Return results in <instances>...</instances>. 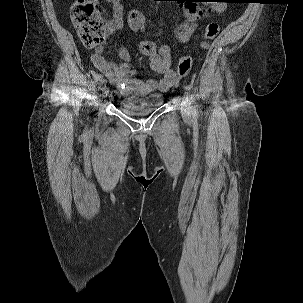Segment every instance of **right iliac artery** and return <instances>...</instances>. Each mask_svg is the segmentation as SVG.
Listing matches in <instances>:
<instances>
[{
    "label": "right iliac artery",
    "mask_w": 303,
    "mask_h": 303,
    "mask_svg": "<svg viewBox=\"0 0 303 303\" xmlns=\"http://www.w3.org/2000/svg\"><path fill=\"white\" fill-rule=\"evenodd\" d=\"M95 80L98 84V89L102 90L106 86V80L101 75H97Z\"/></svg>",
    "instance_id": "82829eb1"
}]
</instances>
